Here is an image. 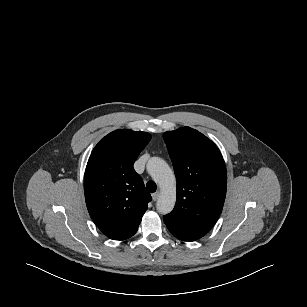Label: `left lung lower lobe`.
I'll return each mask as SVG.
<instances>
[{
    "label": "left lung lower lobe",
    "mask_w": 307,
    "mask_h": 307,
    "mask_svg": "<svg viewBox=\"0 0 307 307\" xmlns=\"http://www.w3.org/2000/svg\"><path fill=\"white\" fill-rule=\"evenodd\" d=\"M166 224V223H165ZM166 226L168 227L169 231L177 238L183 240V241H195V239H192L182 233H180L179 231L175 230L174 228H172L169 224H166Z\"/></svg>",
    "instance_id": "left-lung-lower-lobe-1"
}]
</instances>
